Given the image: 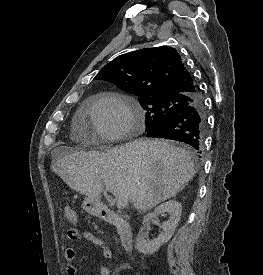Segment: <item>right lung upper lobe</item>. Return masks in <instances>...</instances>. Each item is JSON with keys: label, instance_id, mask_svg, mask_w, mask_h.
Instances as JSON below:
<instances>
[{"label": "right lung upper lobe", "instance_id": "1", "mask_svg": "<svg viewBox=\"0 0 263 275\" xmlns=\"http://www.w3.org/2000/svg\"><path fill=\"white\" fill-rule=\"evenodd\" d=\"M96 79H106L137 96L199 93L175 48L160 46L117 57L105 65Z\"/></svg>", "mask_w": 263, "mask_h": 275}]
</instances>
